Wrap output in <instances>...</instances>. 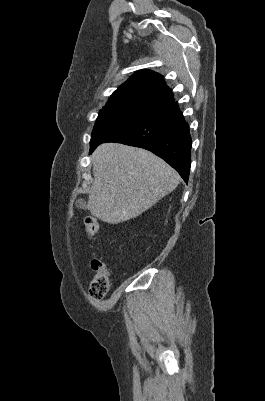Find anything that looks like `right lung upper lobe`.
<instances>
[{
	"instance_id": "cb5924a9",
	"label": "right lung upper lobe",
	"mask_w": 265,
	"mask_h": 401,
	"mask_svg": "<svg viewBox=\"0 0 265 401\" xmlns=\"http://www.w3.org/2000/svg\"><path fill=\"white\" fill-rule=\"evenodd\" d=\"M134 102L165 107L175 100L163 76L150 70H139L112 94L106 106Z\"/></svg>"
}]
</instances>
